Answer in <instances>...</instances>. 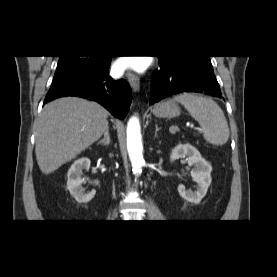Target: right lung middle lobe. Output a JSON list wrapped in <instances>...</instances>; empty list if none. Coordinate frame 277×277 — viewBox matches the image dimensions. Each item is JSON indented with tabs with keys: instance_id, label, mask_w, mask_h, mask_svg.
<instances>
[{
	"instance_id": "obj_1",
	"label": "right lung middle lobe",
	"mask_w": 277,
	"mask_h": 277,
	"mask_svg": "<svg viewBox=\"0 0 277 277\" xmlns=\"http://www.w3.org/2000/svg\"><path fill=\"white\" fill-rule=\"evenodd\" d=\"M105 59L104 56H60L52 86L93 69Z\"/></svg>"
}]
</instances>
